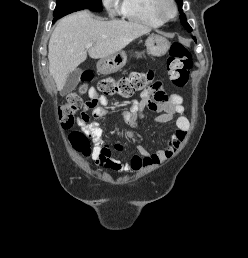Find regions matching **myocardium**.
I'll return each mask as SVG.
<instances>
[{
	"instance_id": "obj_1",
	"label": "myocardium",
	"mask_w": 248,
	"mask_h": 258,
	"mask_svg": "<svg viewBox=\"0 0 248 258\" xmlns=\"http://www.w3.org/2000/svg\"><path fill=\"white\" fill-rule=\"evenodd\" d=\"M153 9L164 22L173 20L178 14L175 0H154Z\"/></svg>"
}]
</instances>
